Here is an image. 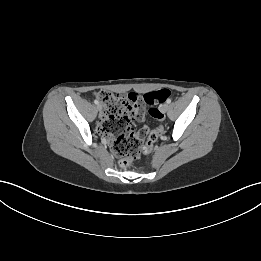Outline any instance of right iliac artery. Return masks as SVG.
<instances>
[{"label":"right iliac artery","instance_id":"1","mask_svg":"<svg viewBox=\"0 0 261 261\" xmlns=\"http://www.w3.org/2000/svg\"><path fill=\"white\" fill-rule=\"evenodd\" d=\"M94 103H95L96 105H98V104H99L98 100H94Z\"/></svg>","mask_w":261,"mask_h":261}]
</instances>
